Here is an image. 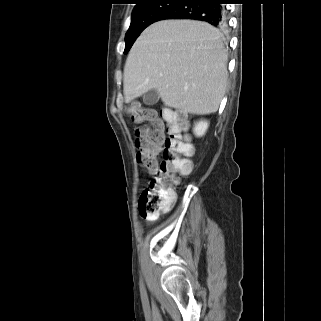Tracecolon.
<instances>
[{"mask_svg":"<svg viewBox=\"0 0 321 321\" xmlns=\"http://www.w3.org/2000/svg\"><path fill=\"white\" fill-rule=\"evenodd\" d=\"M127 113L135 122L149 123L136 130L135 144L138 162L151 177L140 196L139 211L144 218H153L167 212L172 206V186L178 181L175 174L186 175L192 171V162L188 157L192 156L193 147L183 134L186 124L181 112L167 110L161 120L152 109L133 103L127 108ZM165 128L168 133L166 138L163 133ZM162 145L164 148L160 159Z\"/></svg>","mask_w":321,"mask_h":321,"instance_id":"5ec220e1","label":"colon"}]
</instances>
